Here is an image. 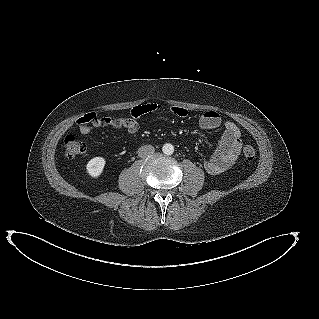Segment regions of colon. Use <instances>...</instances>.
I'll list each match as a JSON object with an SVG mask.
<instances>
[{
    "instance_id": "1",
    "label": "colon",
    "mask_w": 319,
    "mask_h": 319,
    "mask_svg": "<svg viewBox=\"0 0 319 319\" xmlns=\"http://www.w3.org/2000/svg\"><path fill=\"white\" fill-rule=\"evenodd\" d=\"M93 119L94 114L89 113L79 118L77 124L84 125L91 122ZM63 147L64 155L69 159H73L85 151V144L72 134H69L64 138ZM242 153L248 160H252L256 155V150L252 145L245 143L242 147Z\"/></svg>"
}]
</instances>
